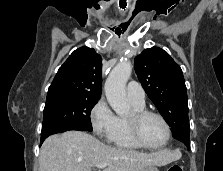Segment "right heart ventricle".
Wrapping results in <instances>:
<instances>
[{
    "label": "right heart ventricle",
    "instance_id": "obj_1",
    "mask_svg": "<svg viewBox=\"0 0 223 171\" xmlns=\"http://www.w3.org/2000/svg\"><path fill=\"white\" fill-rule=\"evenodd\" d=\"M133 107V110H142L144 109V104H137L130 101ZM108 141L117 148L126 149V150H138L141 147L134 142L130 136L127 122L125 117L116 116V126L115 129L108 139Z\"/></svg>",
    "mask_w": 223,
    "mask_h": 171
}]
</instances>
